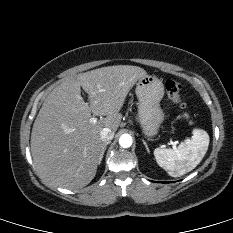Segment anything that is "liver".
Segmentation results:
<instances>
[{"instance_id": "obj_1", "label": "liver", "mask_w": 233, "mask_h": 233, "mask_svg": "<svg viewBox=\"0 0 233 233\" xmlns=\"http://www.w3.org/2000/svg\"><path fill=\"white\" fill-rule=\"evenodd\" d=\"M146 75L138 66H108L66 77L54 88L31 133V154L39 176L69 190L88 185L99 164L101 130L116 132L128 92ZM81 87L89 95V102L82 98ZM91 114L106 117L94 123Z\"/></svg>"}]
</instances>
